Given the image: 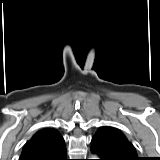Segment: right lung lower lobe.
<instances>
[{"label":"right lung lower lobe","mask_w":160,"mask_h":160,"mask_svg":"<svg viewBox=\"0 0 160 160\" xmlns=\"http://www.w3.org/2000/svg\"><path fill=\"white\" fill-rule=\"evenodd\" d=\"M51 160H68L67 154H66V149L62 153H60L58 156L52 158Z\"/></svg>","instance_id":"right-lung-lower-lobe-1"}]
</instances>
